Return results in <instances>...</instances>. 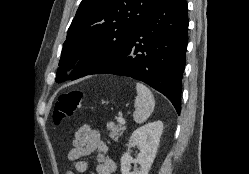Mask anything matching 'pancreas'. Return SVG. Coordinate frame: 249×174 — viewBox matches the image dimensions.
<instances>
[{
    "mask_svg": "<svg viewBox=\"0 0 249 174\" xmlns=\"http://www.w3.org/2000/svg\"><path fill=\"white\" fill-rule=\"evenodd\" d=\"M107 130L109 131V135L111 139L114 141H118L119 137L125 130V127L121 124L107 123Z\"/></svg>",
    "mask_w": 249,
    "mask_h": 174,
    "instance_id": "1",
    "label": "pancreas"
}]
</instances>
